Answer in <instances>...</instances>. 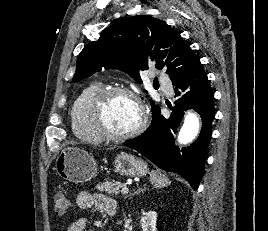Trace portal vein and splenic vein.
I'll list each match as a JSON object with an SVG mask.
<instances>
[{
	"instance_id": "obj_1",
	"label": "portal vein and splenic vein",
	"mask_w": 268,
	"mask_h": 231,
	"mask_svg": "<svg viewBox=\"0 0 268 231\" xmlns=\"http://www.w3.org/2000/svg\"><path fill=\"white\" fill-rule=\"evenodd\" d=\"M129 192V189L127 187H123L121 190L122 194H127Z\"/></svg>"
}]
</instances>
